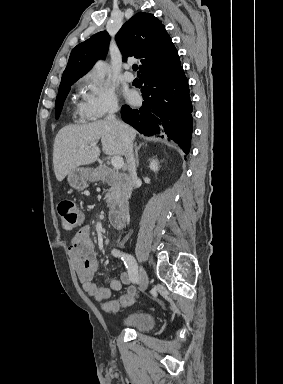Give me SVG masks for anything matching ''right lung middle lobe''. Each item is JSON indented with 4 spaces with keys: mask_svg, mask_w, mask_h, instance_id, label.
<instances>
[{
    "mask_svg": "<svg viewBox=\"0 0 283 384\" xmlns=\"http://www.w3.org/2000/svg\"><path fill=\"white\" fill-rule=\"evenodd\" d=\"M73 84H74V82L64 83V84H60V86H59L58 96H57L56 102H55L56 119L59 118L60 112H61L62 107H63V103L65 101V98H66L67 94L69 93L70 88Z\"/></svg>",
    "mask_w": 283,
    "mask_h": 384,
    "instance_id": "right-lung-middle-lobe-1",
    "label": "right lung middle lobe"
}]
</instances>
